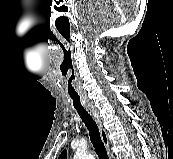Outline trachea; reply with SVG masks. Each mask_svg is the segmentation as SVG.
<instances>
[{"instance_id": "3493384b", "label": "trachea", "mask_w": 173, "mask_h": 159, "mask_svg": "<svg viewBox=\"0 0 173 159\" xmlns=\"http://www.w3.org/2000/svg\"><path fill=\"white\" fill-rule=\"evenodd\" d=\"M76 110L89 131L90 140L99 159H109L96 122L85 109Z\"/></svg>"}]
</instances>
